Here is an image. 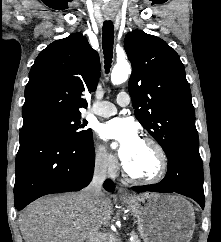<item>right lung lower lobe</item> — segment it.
<instances>
[{
  "instance_id": "right-lung-lower-lobe-1",
  "label": "right lung lower lobe",
  "mask_w": 221,
  "mask_h": 242,
  "mask_svg": "<svg viewBox=\"0 0 221 242\" xmlns=\"http://www.w3.org/2000/svg\"><path fill=\"white\" fill-rule=\"evenodd\" d=\"M94 163L92 135L74 140L49 131L21 132L16 156L15 208L22 210L43 195L81 190L93 176ZM104 187L113 191L114 184L106 180Z\"/></svg>"
}]
</instances>
